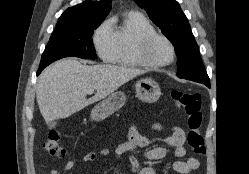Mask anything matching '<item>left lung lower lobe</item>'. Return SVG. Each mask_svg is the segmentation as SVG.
I'll return each instance as SVG.
<instances>
[{
    "mask_svg": "<svg viewBox=\"0 0 249 174\" xmlns=\"http://www.w3.org/2000/svg\"><path fill=\"white\" fill-rule=\"evenodd\" d=\"M191 81L203 83V84H205L207 87L210 88V80H209L208 78H196V79H193V80H191Z\"/></svg>",
    "mask_w": 249,
    "mask_h": 174,
    "instance_id": "1",
    "label": "left lung lower lobe"
}]
</instances>
